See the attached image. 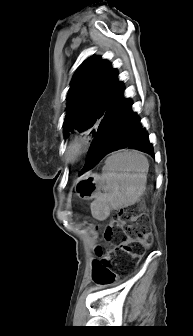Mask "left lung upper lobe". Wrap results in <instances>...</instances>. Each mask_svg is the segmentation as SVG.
I'll return each instance as SVG.
<instances>
[{
  "label": "left lung upper lobe",
  "instance_id": "left-lung-upper-lobe-1",
  "mask_svg": "<svg viewBox=\"0 0 193 336\" xmlns=\"http://www.w3.org/2000/svg\"><path fill=\"white\" fill-rule=\"evenodd\" d=\"M123 91L116 69L100 57H90L77 70L67 95L65 136L75 130L93 129L113 108Z\"/></svg>",
  "mask_w": 193,
  "mask_h": 336
}]
</instances>
